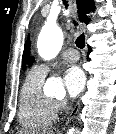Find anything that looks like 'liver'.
<instances>
[{
  "label": "liver",
  "mask_w": 116,
  "mask_h": 134,
  "mask_svg": "<svg viewBox=\"0 0 116 134\" xmlns=\"http://www.w3.org/2000/svg\"><path fill=\"white\" fill-rule=\"evenodd\" d=\"M19 134H24L23 132H20ZM46 134H52V132H47Z\"/></svg>",
  "instance_id": "6515ba94"
}]
</instances>
